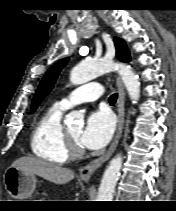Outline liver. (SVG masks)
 I'll list each match as a JSON object with an SVG mask.
<instances>
[{"label": "liver", "instance_id": "1", "mask_svg": "<svg viewBox=\"0 0 176 211\" xmlns=\"http://www.w3.org/2000/svg\"><path fill=\"white\" fill-rule=\"evenodd\" d=\"M11 167L38 175L55 184H66L74 178V171L39 158L25 156L15 160Z\"/></svg>", "mask_w": 176, "mask_h": 211}]
</instances>
